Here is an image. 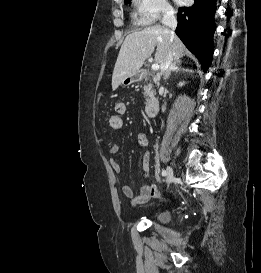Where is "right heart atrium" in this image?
<instances>
[{"label":"right heart atrium","instance_id":"d8ad5b80","mask_svg":"<svg viewBox=\"0 0 261 273\" xmlns=\"http://www.w3.org/2000/svg\"><path fill=\"white\" fill-rule=\"evenodd\" d=\"M134 4L138 21L143 25H151L173 15V9L167 0H134Z\"/></svg>","mask_w":261,"mask_h":273}]
</instances>
